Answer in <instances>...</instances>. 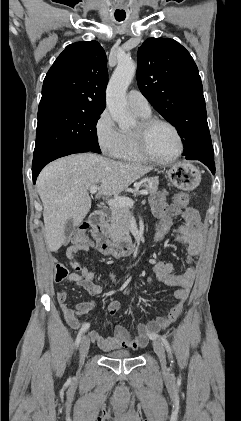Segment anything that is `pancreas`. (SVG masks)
Returning <instances> with one entry per match:
<instances>
[{
	"label": "pancreas",
	"mask_w": 241,
	"mask_h": 421,
	"mask_svg": "<svg viewBox=\"0 0 241 421\" xmlns=\"http://www.w3.org/2000/svg\"><path fill=\"white\" fill-rule=\"evenodd\" d=\"M158 178H147L142 180L137 187H145V190L154 195L158 190ZM131 212L129 207H112L110 215L104 223L106 232L113 239H120L129 235Z\"/></svg>",
	"instance_id": "1"
}]
</instances>
